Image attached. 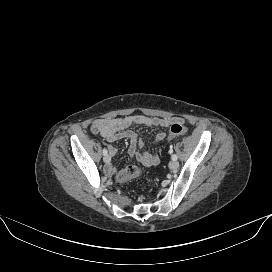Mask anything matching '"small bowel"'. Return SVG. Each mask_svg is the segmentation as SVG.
I'll use <instances>...</instances> for the list:
<instances>
[{"label":"small bowel","mask_w":272,"mask_h":272,"mask_svg":"<svg viewBox=\"0 0 272 272\" xmlns=\"http://www.w3.org/2000/svg\"><path fill=\"white\" fill-rule=\"evenodd\" d=\"M175 123L183 124L184 121L179 117H148L143 115H131L109 119H99L93 122L91 132L99 134L108 142H115L120 139H129L130 147L129 154L137 162L146 167L156 166L159 163L157 154L150 152H140L139 149L143 146L144 140L130 128L134 125H142L146 127H169ZM166 138V133L159 132L155 136V141L160 142ZM110 154L114 156L116 149L110 147ZM108 174H113L115 169L108 166L106 169Z\"/></svg>","instance_id":"1"}]
</instances>
